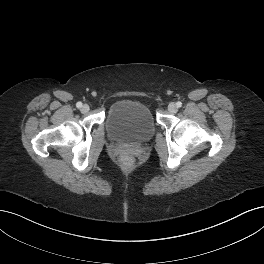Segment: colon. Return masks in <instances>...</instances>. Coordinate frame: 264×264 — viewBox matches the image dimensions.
<instances>
[{"label": "colon", "mask_w": 264, "mask_h": 264, "mask_svg": "<svg viewBox=\"0 0 264 264\" xmlns=\"http://www.w3.org/2000/svg\"><path fill=\"white\" fill-rule=\"evenodd\" d=\"M123 163H124V165L128 166L130 164V161L128 158H124Z\"/></svg>", "instance_id": "5ec220e1"}]
</instances>
